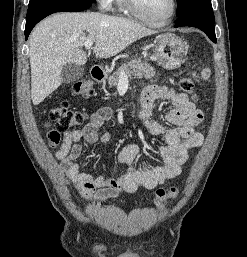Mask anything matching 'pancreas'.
<instances>
[{
	"instance_id": "pancreas-1",
	"label": "pancreas",
	"mask_w": 247,
	"mask_h": 257,
	"mask_svg": "<svg viewBox=\"0 0 247 257\" xmlns=\"http://www.w3.org/2000/svg\"><path fill=\"white\" fill-rule=\"evenodd\" d=\"M125 72L129 77L151 79L155 75V70L148 63H142L141 60L132 59L130 62L123 64L120 69L109 76V87L117 86L120 80V73Z\"/></svg>"
}]
</instances>
